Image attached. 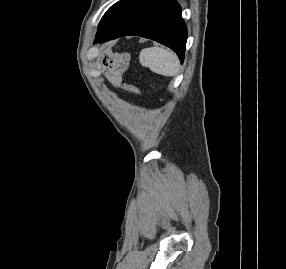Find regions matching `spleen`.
<instances>
[{"label": "spleen", "mask_w": 286, "mask_h": 269, "mask_svg": "<svg viewBox=\"0 0 286 269\" xmlns=\"http://www.w3.org/2000/svg\"><path fill=\"white\" fill-rule=\"evenodd\" d=\"M139 60L142 66L157 74L175 76L179 69L177 56L161 47H150L140 52Z\"/></svg>", "instance_id": "spleen-1"}]
</instances>
